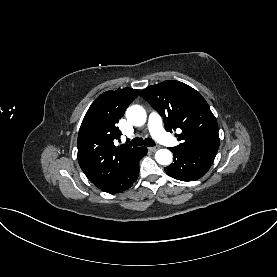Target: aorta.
Returning <instances> with one entry per match:
<instances>
[{
    "label": "aorta",
    "mask_w": 277,
    "mask_h": 277,
    "mask_svg": "<svg viewBox=\"0 0 277 277\" xmlns=\"http://www.w3.org/2000/svg\"><path fill=\"white\" fill-rule=\"evenodd\" d=\"M127 120L134 126H142L146 122V111L142 106L133 105L126 110ZM157 163L169 165L172 161V153L168 149H159L155 154Z\"/></svg>",
    "instance_id": "obj_1"
}]
</instances>
